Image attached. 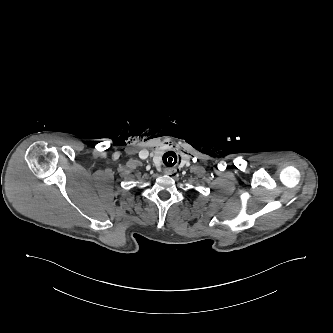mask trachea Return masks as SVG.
<instances>
[{"instance_id":"obj_1","label":"trachea","mask_w":333,"mask_h":333,"mask_svg":"<svg viewBox=\"0 0 333 333\" xmlns=\"http://www.w3.org/2000/svg\"><path fill=\"white\" fill-rule=\"evenodd\" d=\"M163 162L166 166L171 167L177 162V156L174 152H167L163 155Z\"/></svg>"}]
</instances>
